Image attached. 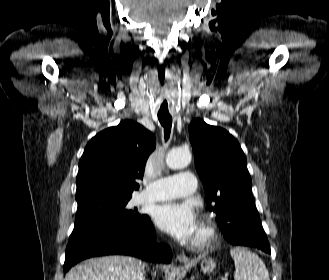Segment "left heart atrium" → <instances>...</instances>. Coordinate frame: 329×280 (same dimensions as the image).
<instances>
[{
	"label": "left heart atrium",
	"instance_id": "39dd6f15",
	"mask_svg": "<svg viewBox=\"0 0 329 280\" xmlns=\"http://www.w3.org/2000/svg\"><path fill=\"white\" fill-rule=\"evenodd\" d=\"M154 221L160 229L179 240L191 241L199 232L196 212L188 203L170 201L157 206Z\"/></svg>",
	"mask_w": 329,
	"mask_h": 280
}]
</instances>
